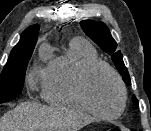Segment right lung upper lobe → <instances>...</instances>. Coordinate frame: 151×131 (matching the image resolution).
<instances>
[{"instance_id":"right-lung-upper-lobe-1","label":"right lung upper lobe","mask_w":151,"mask_h":131,"mask_svg":"<svg viewBox=\"0 0 151 131\" xmlns=\"http://www.w3.org/2000/svg\"><path fill=\"white\" fill-rule=\"evenodd\" d=\"M39 26L33 25L28 27L21 35L19 43L14 48L36 44L38 38Z\"/></svg>"}]
</instances>
